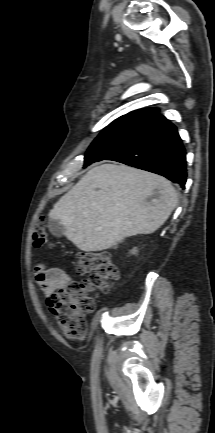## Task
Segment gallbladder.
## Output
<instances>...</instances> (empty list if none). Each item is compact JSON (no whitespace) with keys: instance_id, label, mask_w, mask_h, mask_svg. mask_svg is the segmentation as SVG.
<instances>
[{"instance_id":"gallbladder-1","label":"gallbladder","mask_w":215,"mask_h":433,"mask_svg":"<svg viewBox=\"0 0 215 433\" xmlns=\"http://www.w3.org/2000/svg\"><path fill=\"white\" fill-rule=\"evenodd\" d=\"M48 228L50 232L56 237H61L65 233L64 226L58 220L49 219Z\"/></svg>"}]
</instances>
